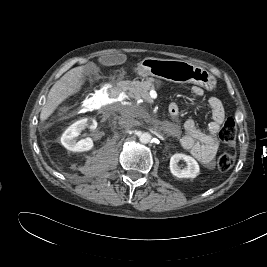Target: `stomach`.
Masks as SVG:
<instances>
[{
	"mask_svg": "<svg viewBox=\"0 0 267 267\" xmlns=\"http://www.w3.org/2000/svg\"><path fill=\"white\" fill-rule=\"evenodd\" d=\"M137 72L141 77L153 76L176 83H193L207 90H212L216 84L215 77L209 71L182 60L147 57L138 64Z\"/></svg>",
	"mask_w": 267,
	"mask_h": 267,
	"instance_id": "stomach-1",
	"label": "stomach"
}]
</instances>
